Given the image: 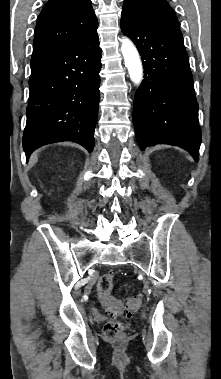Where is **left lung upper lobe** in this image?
I'll return each instance as SVG.
<instances>
[{
	"label": "left lung upper lobe",
	"instance_id": "5c2ea615",
	"mask_svg": "<svg viewBox=\"0 0 221 379\" xmlns=\"http://www.w3.org/2000/svg\"><path fill=\"white\" fill-rule=\"evenodd\" d=\"M134 6L149 21L179 29V23L172 7L166 0H124Z\"/></svg>",
	"mask_w": 221,
	"mask_h": 379
}]
</instances>
